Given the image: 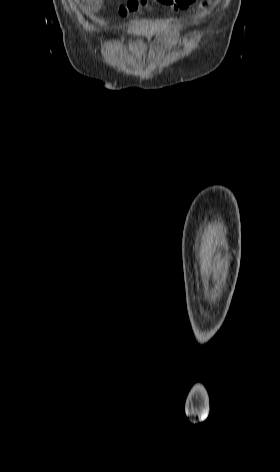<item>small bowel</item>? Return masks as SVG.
Masks as SVG:
<instances>
[{"mask_svg": "<svg viewBox=\"0 0 280 472\" xmlns=\"http://www.w3.org/2000/svg\"><path fill=\"white\" fill-rule=\"evenodd\" d=\"M181 2L174 5V8L177 10H188L190 9L195 2L198 0H180Z\"/></svg>", "mask_w": 280, "mask_h": 472, "instance_id": "c3829d8e", "label": "small bowel"}]
</instances>
